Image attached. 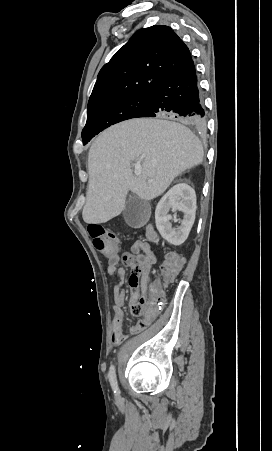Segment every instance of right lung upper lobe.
Returning <instances> with one entry per match:
<instances>
[{"label": "right lung upper lobe", "instance_id": "obj_1", "mask_svg": "<svg viewBox=\"0 0 272 451\" xmlns=\"http://www.w3.org/2000/svg\"><path fill=\"white\" fill-rule=\"evenodd\" d=\"M189 59L188 47L170 27L141 29L102 67L88 108L118 97L150 95Z\"/></svg>", "mask_w": 272, "mask_h": 451}]
</instances>
